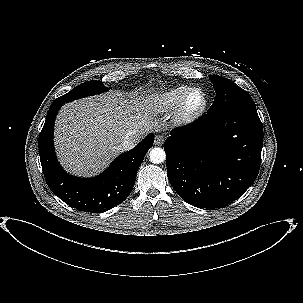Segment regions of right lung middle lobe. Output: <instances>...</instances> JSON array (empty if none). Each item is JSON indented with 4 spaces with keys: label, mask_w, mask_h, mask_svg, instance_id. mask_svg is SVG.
Masks as SVG:
<instances>
[{
    "label": "right lung middle lobe",
    "mask_w": 303,
    "mask_h": 303,
    "mask_svg": "<svg viewBox=\"0 0 303 303\" xmlns=\"http://www.w3.org/2000/svg\"><path fill=\"white\" fill-rule=\"evenodd\" d=\"M107 90L108 89L103 85L101 81L92 80L78 85L70 92L57 98L56 100L67 103L83 97L100 94Z\"/></svg>",
    "instance_id": "1"
}]
</instances>
